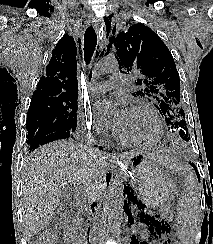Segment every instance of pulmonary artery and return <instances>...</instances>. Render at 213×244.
I'll return each instance as SVG.
<instances>
[{
  "label": "pulmonary artery",
  "instance_id": "1",
  "mask_svg": "<svg viewBox=\"0 0 213 244\" xmlns=\"http://www.w3.org/2000/svg\"><path fill=\"white\" fill-rule=\"evenodd\" d=\"M128 77L123 73H115L109 81L91 84L89 91L93 94H101L113 88L120 87L127 83Z\"/></svg>",
  "mask_w": 213,
  "mask_h": 244
}]
</instances>
